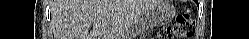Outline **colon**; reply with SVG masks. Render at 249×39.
<instances>
[{
  "instance_id": "colon-1",
  "label": "colon",
  "mask_w": 249,
  "mask_h": 39,
  "mask_svg": "<svg viewBox=\"0 0 249 39\" xmlns=\"http://www.w3.org/2000/svg\"><path fill=\"white\" fill-rule=\"evenodd\" d=\"M195 31L194 21L189 8L176 17L175 22L170 25L165 33L164 38L184 39L193 36Z\"/></svg>"
}]
</instances>
